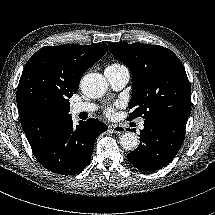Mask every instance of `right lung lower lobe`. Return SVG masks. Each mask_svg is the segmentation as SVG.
<instances>
[{
  "label": "right lung lower lobe",
  "instance_id": "obj_1",
  "mask_svg": "<svg viewBox=\"0 0 215 215\" xmlns=\"http://www.w3.org/2000/svg\"><path fill=\"white\" fill-rule=\"evenodd\" d=\"M107 125L97 119L73 127L72 117L61 123L34 152L39 163L53 173L73 175L90 164L95 139Z\"/></svg>",
  "mask_w": 215,
  "mask_h": 215
}]
</instances>
